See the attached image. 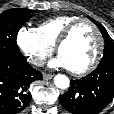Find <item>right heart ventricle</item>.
Returning a JSON list of instances; mask_svg holds the SVG:
<instances>
[{
	"label": "right heart ventricle",
	"instance_id": "obj_1",
	"mask_svg": "<svg viewBox=\"0 0 114 114\" xmlns=\"http://www.w3.org/2000/svg\"><path fill=\"white\" fill-rule=\"evenodd\" d=\"M79 18L75 15H60L41 22L35 29L47 43L54 46L64 29Z\"/></svg>",
	"mask_w": 114,
	"mask_h": 114
}]
</instances>
